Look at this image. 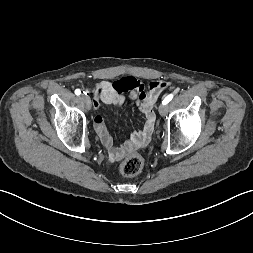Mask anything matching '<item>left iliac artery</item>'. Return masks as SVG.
Segmentation results:
<instances>
[{"label": "left iliac artery", "mask_w": 253, "mask_h": 253, "mask_svg": "<svg viewBox=\"0 0 253 253\" xmlns=\"http://www.w3.org/2000/svg\"><path fill=\"white\" fill-rule=\"evenodd\" d=\"M173 98V94H169L168 96H166L162 102V104L166 105L168 104Z\"/></svg>", "instance_id": "obj_1"}]
</instances>
